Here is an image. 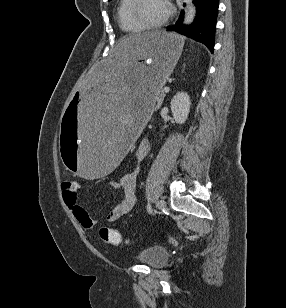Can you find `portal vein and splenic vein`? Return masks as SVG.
<instances>
[{
    "instance_id": "18ae733b",
    "label": "portal vein and splenic vein",
    "mask_w": 286,
    "mask_h": 308,
    "mask_svg": "<svg viewBox=\"0 0 286 308\" xmlns=\"http://www.w3.org/2000/svg\"><path fill=\"white\" fill-rule=\"evenodd\" d=\"M164 91H165V92H168V91H169V88H168V87H165V88H164Z\"/></svg>"
}]
</instances>
